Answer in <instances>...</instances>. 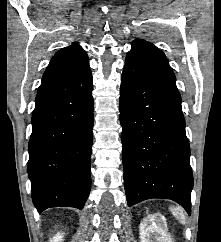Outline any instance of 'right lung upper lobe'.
Segmentation results:
<instances>
[{"mask_svg":"<svg viewBox=\"0 0 221 242\" xmlns=\"http://www.w3.org/2000/svg\"><path fill=\"white\" fill-rule=\"evenodd\" d=\"M89 70L87 54L77 43H72L53 56L38 91L68 83Z\"/></svg>","mask_w":221,"mask_h":242,"instance_id":"right-lung-upper-lobe-1","label":"right lung upper lobe"}]
</instances>
